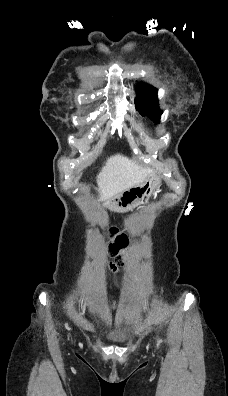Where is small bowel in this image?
<instances>
[{"instance_id":"c3829d8e","label":"small bowel","mask_w":228,"mask_h":396,"mask_svg":"<svg viewBox=\"0 0 228 396\" xmlns=\"http://www.w3.org/2000/svg\"><path fill=\"white\" fill-rule=\"evenodd\" d=\"M110 268H111V270H112L113 272H116V271H117V267H116L115 265H113V264H110Z\"/></svg>"}]
</instances>
